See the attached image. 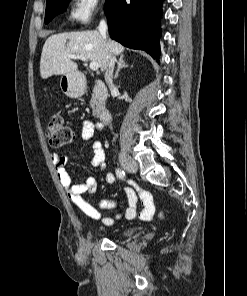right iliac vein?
Segmentation results:
<instances>
[{
	"label": "right iliac vein",
	"instance_id": "1",
	"mask_svg": "<svg viewBox=\"0 0 247 296\" xmlns=\"http://www.w3.org/2000/svg\"><path fill=\"white\" fill-rule=\"evenodd\" d=\"M120 163L130 173H135L138 169L137 163L128 156H122Z\"/></svg>",
	"mask_w": 247,
	"mask_h": 296
}]
</instances>
